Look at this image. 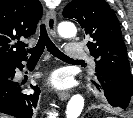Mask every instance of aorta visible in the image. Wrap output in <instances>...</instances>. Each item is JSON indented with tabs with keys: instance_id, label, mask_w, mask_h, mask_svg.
<instances>
[{
	"instance_id": "1",
	"label": "aorta",
	"mask_w": 133,
	"mask_h": 118,
	"mask_svg": "<svg viewBox=\"0 0 133 118\" xmlns=\"http://www.w3.org/2000/svg\"><path fill=\"white\" fill-rule=\"evenodd\" d=\"M58 33L64 38L76 36L77 30L73 23L62 22L58 26ZM84 108V98L80 94L73 95L66 108V118H79Z\"/></svg>"
}]
</instances>
